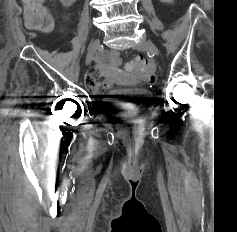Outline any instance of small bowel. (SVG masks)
Wrapping results in <instances>:
<instances>
[{
  "label": "small bowel",
  "instance_id": "1",
  "mask_svg": "<svg viewBox=\"0 0 237 232\" xmlns=\"http://www.w3.org/2000/svg\"><path fill=\"white\" fill-rule=\"evenodd\" d=\"M121 59L118 51L110 50L100 58L97 66L92 67L85 76V85L96 95L112 94L113 82L110 79L99 81L100 77L118 72Z\"/></svg>",
  "mask_w": 237,
  "mask_h": 232
}]
</instances>
